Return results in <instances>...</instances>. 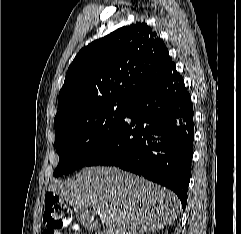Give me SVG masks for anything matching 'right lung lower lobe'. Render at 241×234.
I'll return each mask as SVG.
<instances>
[{"instance_id": "right-lung-lower-lobe-1", "label": "right lung lower lobe", "mask_w": 241, "mask_h": 234, "mask_svg": "<svg viewBox=\"0 0 241 234\" xmlns=\"http://www.w3.org/2000/svg\"><path fill=\"white\" fill-rule=\"evenodd\" d=\"M193 139L191 98L173 64L127 104L121 124L86 166H118L168 187L184 210Z\"/></svg>"}]
</instances>
